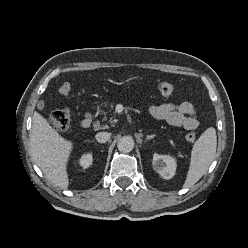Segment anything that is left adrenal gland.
I'll return each instance as SVG.
<instances>
[{"mask_svg": "<svg viewBox=\"0 0 248 248\" xmlns=\"http://www.w3.org/2000/svg\"><path fill=\"white\" fill-rule=\"evenodd\" d=\"M154 137H155V135H148L147 138H146V140H150V139H152Z\"/></svg>", "mask_w": 248, "mask_h": 248, "instance_id": "left-adrenal-gland-1", "label": "left adrenal gland"}]
</instances>
